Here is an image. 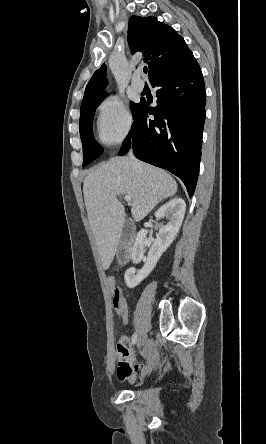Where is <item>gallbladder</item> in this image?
<instances>
[{
  "instance_id": "bac80fb5",
  "label": "gallbladder",
  "mask_w": 266,
  "mask_h": 444,
  "mask_svg": "<svg viewBox=\"0 0 266 444\" xmlns=\"http://www.w3.org/2000/svg\"><path fill=\"white\" fill-rule=\"evenodd\" d=\"M129 235H130V222L127 221L123 227V233H122L123 240L128 239ZM123 262H124V254L123 250L120 249L118 252V263L122 264Z\"/></svg>"
}]
</instances>
